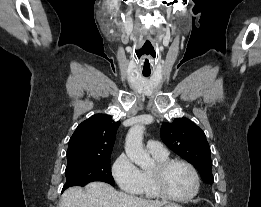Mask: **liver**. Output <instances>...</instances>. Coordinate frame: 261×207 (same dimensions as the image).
<instances>
[{
	"label": "liver",
	"mask_w": 261,
	"mask_h": 207,
	"mask_svg": "<svg viewBox=\"0 0 261 207\" xmlns=\"http://www.w3.org/2000/svg\"><path fill=\"white\" fill-rule=\"evenodd\" d=\"M165 201L147 200L116 191L104 182H91L85 187L68 188L59 207H162Z\"/></svg>",
	"instance_id": "liver-1"
}]
</instances>
